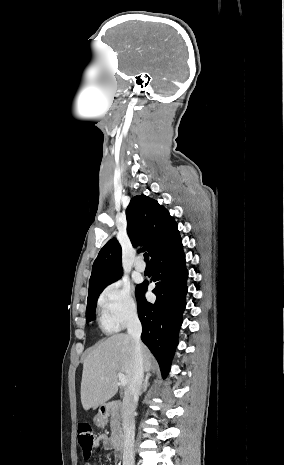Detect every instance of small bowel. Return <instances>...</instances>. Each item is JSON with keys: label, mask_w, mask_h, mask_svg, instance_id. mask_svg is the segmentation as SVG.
<instances>
[{"label": "small bowel", "mask_w": 284, "mask_h": 465, "mask_svg": "<svg viewBox=\"0 0 284 465\" xmlns=\"http://www.w3.org/2000/svg\"><path fill=\"white\" fill-rule=\"evenodd\" d=\"M100 446H103L106 449L109 448V439L106 434H101L95 439V443H94L95 451L98 450ZM114 456L117 457V454L114 453Z\"/></svg>", "instance_id": "small-bowel-1"}]
</instances>
